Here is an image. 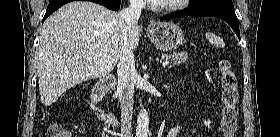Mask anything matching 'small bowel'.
Here are the masks:
<instances>
[{
    "label": "small bowel",
    "mask_w": 280,
    "mask_h": 137,
    "mask_svg": "<svg viewBox=\"0 0 280 137\" xmlns=\"http://www.w3.org/2000/svg\"><path fill=\"white\" fill-rule=\"evenodd\" d=\"M179 130H180V127H179V126H175L174 128H172V129L170 130V136H171V137H175L176 134L179 132Z\"/></svg>",
    "instance_id": "1"
}]
</instances>
